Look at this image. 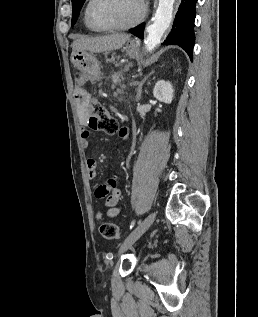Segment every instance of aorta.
<instances>
[{
    "label": "aorta",
    "mask_w": 258,
    "mask_h": 317,
    "mask_svg": "<svg viewBox=\"0 0 258 317\" xmlns=\"http://www.w3.org/2000/svg\"><path fill=\"white\" fill-rule=\"evenodd\" d=\"M175 0H159L158 8L152 23L147 27L145 47L152 51L161 42V39L172 21L173 4Z\"/></svg>",
    "instance_id": "aorta-1"
}]
</instances>
